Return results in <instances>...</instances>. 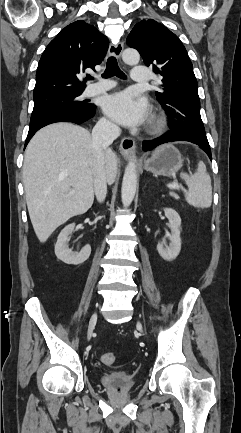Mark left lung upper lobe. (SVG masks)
Segmentation results:
<instances>
[{
	"mask_svg": "<svg viewBox=\"0 0 241 433\" xmlns=\"http://www.w3.org/2000/svg\"><path fill=\"white\" fill-rule=\"evenodd\" d=\"M127 44L138 50L144 63L163 76L156 92L165 110L171 131L189 134L208 143L200 116L197 80L191 60L178 37L155 20L137 23L127 37Z\"/></svg>",
	"mask_w": 241,
	"mask_h": 433,
	"instance_id": "obj_1",
	"label": "left lung upper lobe"
}]
</instances>
